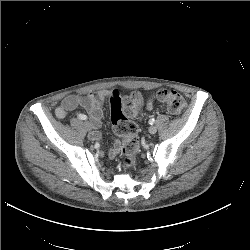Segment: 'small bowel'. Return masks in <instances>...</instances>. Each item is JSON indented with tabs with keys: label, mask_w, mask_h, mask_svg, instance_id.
Instances as JSON below:
<instances>
[{
	"label": "small bowel",
	"mask_w": 250,
	"mask_h": 250,
	"mask_svg": "<svg viewBox=\"0 0 250 250\" xmlns=\"http://www.w3.org/2000/svg\"><path fill=\"white\" fill-rule=\"evenodd\" d=\"M110 92L100 91L97 93H89L85 95H69L65 97L61 104L56 108L55 113L58 118H64L68 112L77 109L78 107L84 108L91 120L94 131L90 134L92 140H99L100 134L98 128L103 115L102 105L108 98ZM155 97H150L146 102V108L151 110L155 104Z\"/></svg>",
	"instance_id": "small-bowel-1"
}]
</instances>
